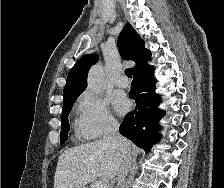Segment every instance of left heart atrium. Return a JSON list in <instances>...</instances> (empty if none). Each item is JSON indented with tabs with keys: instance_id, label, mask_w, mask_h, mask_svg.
<instances>
[{
	"instance_id": "39dd6f15",
	"label": "left heart atrium",
	"mask_w": 224,
	"mask_h": 188,
	"mask_svg": "<svg viewBox=\"0 0 224 188\" xmlns=\"http://www.w3.org/2000/svg\"><path fill=\"white\" fill-rule=\"evenodd\" d=\"M113 106L117 113L125 114L130 110L131 104L124 94H117L114 97Z\"/></svg>"
}]
</instances>
